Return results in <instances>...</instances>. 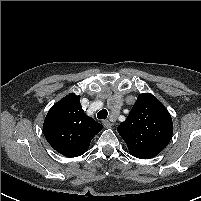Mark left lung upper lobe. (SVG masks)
Here are the masks:
<instances>
[{
    "label": "left lung upper lobe",
    "instance_id": "5c2ea615",
    "mask_svg": "<svg viewBox=\"0 0 201 201\" xmlns=\"http://www.w3.org/2000/svg\"><path fill=\"white\" fill-rule=\"evenodd\" d=\"M117 131L129 152L140 159L158 155L169 143L173 133L171 116L152 94H140L128 117Z\"/></svg>",
    "mask_w": 201,
    "mask_h": 201
}]
</instances>
